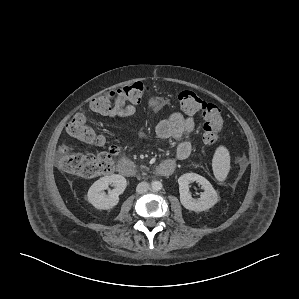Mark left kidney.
<instances>
[{"mask_svg":"<svg viewBox=\"0 0 299 299\" xmlns=\"http://www.w3.org/2000/svg\"><path fill=\"white\" fill-rule=\"evenodd\" d=\"M196 182L202 186L204 192L198 200L193 199L189 192V184ZM179 192L181 204L188 210L201 212L210 209L218 202V195L211 183L196 173H186L179 177Z\"/></svg>","mask_w":299,"mask_h":299,"instance_id":"1","label":"left kidney"}]
</instances>
